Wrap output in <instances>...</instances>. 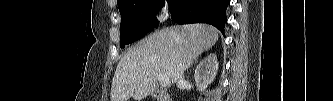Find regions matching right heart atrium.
Wrapping results in <instances>:
<instances>
[{"label":"right heart atrium","mask_w":333,"mask_h":101,"mask_svg":"<svg viewBox=\"0 0 333 101\" xmlns=\"http://www.w3.org/2000/svg\"><path fill=\"white\" fill-rule=\"evenodd\" d=\"M152 14L158 19H165L168 16L169 11L164 4L163 5L155 4L152 7Z\"/></svg>","instance_id":"right-heart-atrium-1"}]
</instances>
